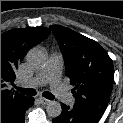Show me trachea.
I'll return each mask as SVG.
<instances>
[{
	"instance_id": "1",
	"label": "trachea",
	"mask_w": 123,
	"mask_h": 123,
	"mask_svg": "<svg viewBox=\"0 0 123 123\" xmlns=\"http://www.w3.org/2000/svg\"><path fill=\"white\" fill-rule=\"evenodd\" d=\"M21 94L27 95V96H34L36 95V90L32 88H21V87H15ZM43 97L53 100L55 97L52 93L45 91L43 92Z\"/></svg>"
}]
</instances>
